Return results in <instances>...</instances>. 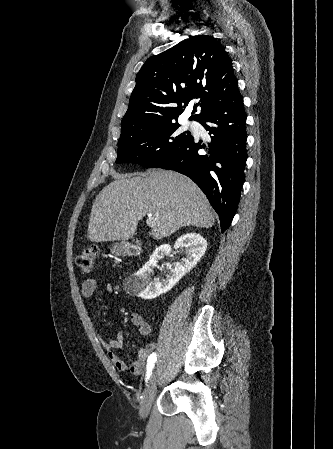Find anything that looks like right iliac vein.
I'll list each match as a JSON object with an SVG mask.
<instances>
[{
    "instance_id": "right-iliac-vein-1",
    "label": "right iliac vein",
    "mask_w": 333,
    "mask_h": 449,
    "mask_svg": "<svg viewBox=\"0 0 333 449\" xmlns=\"http://www.w3.org/2000/svg\"><path fill=\"white\" fill-rule=\"evenodd\" d=\"M156 382H157V373L156 371H154L151 375L150 381L143 395L142 407L140 409L141 418H146L149 414L150 408L155 398Z\"/></svg>"
}]
</instances>
